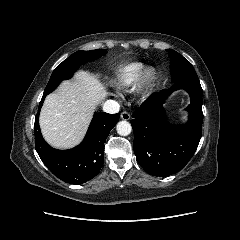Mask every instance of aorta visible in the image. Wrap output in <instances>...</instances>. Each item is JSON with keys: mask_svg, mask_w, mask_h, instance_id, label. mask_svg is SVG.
Masks as SVG:
<instances>
[{"mask_svg": "<svg viewBox=\"0 0 240 240\" xmlns=\"http://www.w3.org/2000/svg\"><path fill=\"white\" fill-rule=\"evenodd\" d=\"M116 130L119 135L127 136L131 133L132 126L129 122L124 120L117 123Z\"/></svg>", "mask_w": 240, "mask_h": 240, "instance_id": "762f6f07", "label": "aorta"}]
</instances>
